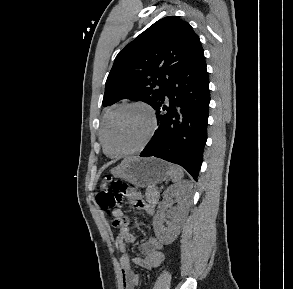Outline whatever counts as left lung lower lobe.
<instances>
[{"label":"left lung lower lobe","mask_w":293,"mask_h":289,"mask_svg":"<svg viewBox=\"0 0 293 289\" xmlns=\"http://www.w3.org/2000/svg\"><path fill=\"white\" fill-rule=\"evenodd\" d=\"M165 96L169 98L168 106L163 105ZM209 102V79L202 51L166 86L153 107L158 129L140 156L179 164L197 180L207 140Z\"/></svg>","instance_id":"1"}]
</instances>
